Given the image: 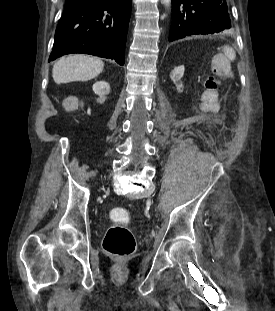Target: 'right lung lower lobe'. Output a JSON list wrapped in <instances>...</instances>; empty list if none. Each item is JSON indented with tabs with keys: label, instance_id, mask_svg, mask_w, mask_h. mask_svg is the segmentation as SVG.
Returning a JSON list of instances; mask_svg holds the SVG:
<instances>
[{
	"label": "right lung lower lobe",
	"instance_id": "98d812e1",
	"mask_svg": "<svg viewBox=\"0 0 275 311\" xmlns=\"http://www.w3.org/2000/svg\"><path fill=\"white\" fill-rule=\"evenodd\" d=\"M131 0H79L66 4L55 31L49 62L86 53L124 64Z\"/></svg>",
	"mask_w": 275,
	"mask_h": 311
}]
</instances>
